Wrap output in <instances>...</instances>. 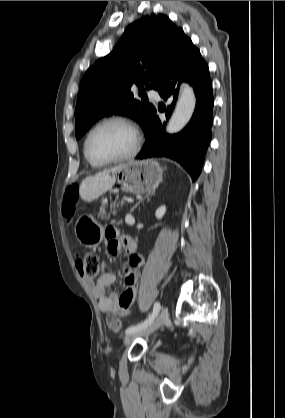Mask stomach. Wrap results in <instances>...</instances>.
<instances>
[{"label": "stomach", "instance_id": "stomach-1", "mask_svg": "<svg viewBox=\"0 0 285 418\" xmlns=\"http://www.w3.org/2000/svg\"><path fill=\"white\" fill-rule=\"evenodd\" d=\"M125 192L139 194L155 189L162 181L163 169L155 160L129 161L113 173ZM75 234L84 244L103 239V226L93 218H80Z\"/></svg>", "mask_w": 285, "mask_h": 418}]
</instances>
